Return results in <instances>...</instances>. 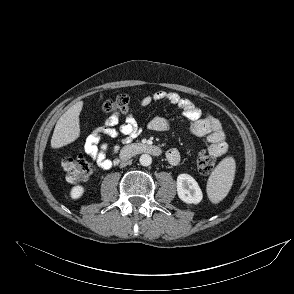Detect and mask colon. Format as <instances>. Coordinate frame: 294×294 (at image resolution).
Returning a JSON list of instances; mask_svg holds the SVG:
<instances>
[{"label": "colon", "mask_w": 294, "mask_h": 294, "mask_svg": "<svg viewBox=\"0 0 294 294\" xmlns=\"http://www.w3.org/2000/svg\"><path fill=\"white\" fill-rule=\"evenodd\" d=\"M130 97L126 94L117 95L106 100L102 109L112 115L124 114L130 109ZM62 168L66 172V178L70 183H79L86 180L93 172L92 164L83 156H64L61 161ZM215 166V157L207 150H202L197 157V168L203 175L212 172Z\"/></svg>", "instance_id": "5ec220e1"}]
</instances>
